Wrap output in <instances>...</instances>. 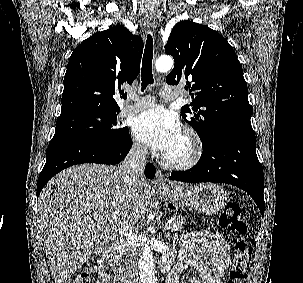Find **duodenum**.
I'll return each mask as SVG.
<instances>
[{
  "label": "duodenum",
  "mask_w": 303,
  "mask_h": 283,
  "mask_svg": "<svg viewBox=\"0 0 303 283\" xmlns=\"http://www.w3.org/2000/svg\"><path fill=\"white\" fill-rule=\"evenodd\" d=\"M118 256H119L118 251L114 248H110L106 251V253L104 255L105 260L103 261V263L107 262L109 264L117 265ZM170 263H171V260H168L165 257L160 262L159 269L162 273L168 274L167 283H175V280L171 277L172 271H170ZM117 274H118V276L116 279V283H126V277H125L123 271L118 269Z\"/></svg>",
  "instance_id": "1"
}]
</instances>
